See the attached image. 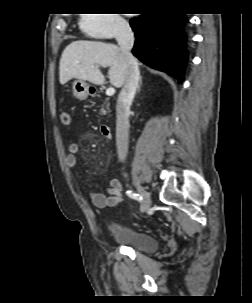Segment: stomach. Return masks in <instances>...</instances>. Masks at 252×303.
<instances>
[{
	"instance_id": "stomach-1",
	"label": "stomach",
	"mask_w": 252,
	"mask_h": 303,
	"mask_svg": "<svg viewBox=\"0 0 252 303\" xmlns=\"http://www.w3.org/2000/svg\"><path fill=\"white\" fill-rule=\"evenodd\" d=\"M90 85L84 80H75L73 82V94L77 99L85 100L90 91Z\"/></svg>"
}]
</instances>
